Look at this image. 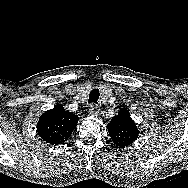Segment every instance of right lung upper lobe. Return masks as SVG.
<instances>
[{
	"label": "right lung upper lobe",
	"instance_id": "cb5924a9",
	"mask_svg": "<svg viewBox=\"0 0 188 188\" xmlns=\"http://www.w3.org/2000/svg\"><path fill=\"white\" fill-rule=\"evenodd\" d=\"M77 122L78 116L56 105L40 116L37 132L46 143L58 145L69 138Z\"/></svg>",
	"mask_w": 188,
	"mask_h": 188
}]
</instances>
